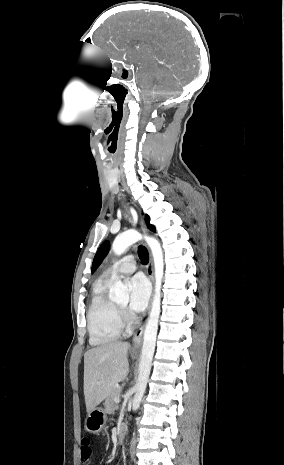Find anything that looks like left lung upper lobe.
<instances>
[{
	"instance_id": "5c2ea615",
	"label": "left lung upper lobe",
	"mask_w": 284,
	"mask_h": 465,
	"mask_svg": "<svg viewBox=\"0 0 284 465\" xmlns=\"http://www.w3.org/2000/svg\"><path fill=\"white\" fill-rule=\"evenodd\" d=\"M146 224L148 226V228L155 232V227L153 225H150L149 224V217L146 216ZM109 241H105L101 244V246L99 247L95 257H94V260H93V264H92V272H94L98 266L101 264V262L103 261V259L105 258V256L107 255L108 251H109Z\"/></svg>"
}]
</instances>
